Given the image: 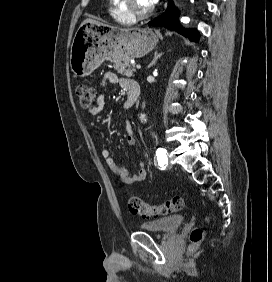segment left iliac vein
<instances>
[{
  "instance_id": "obj_1",
  "label": "left iliac vein",
  "mask_w": 272,
  "mask_h": 282,
  "mask_svg": "<svg viewBox=\"0 0 272 282\" xmlns=\"http://www.w3.org/2000/svg\"><path fill=\"white\" fill-rule=\"evenodd\" d=\"M167 167H171V164H170V163H168V164H167Z\"/></svg>"
}]
</instances>
